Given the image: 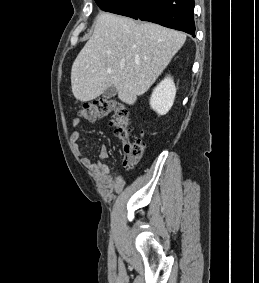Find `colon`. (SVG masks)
<instances>
[{
    "label": "colon",
    "mask_w": 259,
    "mask_h": 283,
    "mask_svg": "<svg viewBox=\"0 0 259 283\" xmlns=\"http://www.w3.org/2000/svg\"><path fill=\"white\" fill-rule=\"evenodd\" d=\"M80 118L94 121L112 116L115 133L122 140V160L125 166H133L139 162L145 144L140 139L131 137L132 121L128 107L115 98H100L84 104L78 112Z\"/></svg>",
    "instance_id": "5ec220e1"
}]
</instances>
